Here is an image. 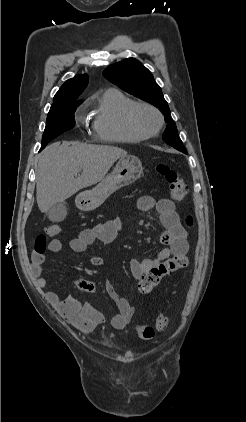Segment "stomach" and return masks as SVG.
<instances>
[{
  "mask_svg": "<svg viewBox=\"0 0 246 422\" xmlns=\"http://www.w3.org/2000/svg\"><path fill=\"white\" fill-rule=\"evenodd\" d=\"M142 170V163L138 157L121 158L113 171L98 185L77 196V206L84 211L96 209L115 191L135 182L140 177Z\"/></svg>",
  "mask_w": 246,
  "mask_h": 422,
  "instance_id": "0dacf381",
  "label": "stomach"
}]
</instances>
